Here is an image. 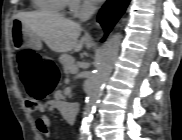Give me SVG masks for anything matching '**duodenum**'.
I'll use <instances>...</instances> for the list:
<instances>
[{
  "instance_id": "410a0bca",
  "label": "duodenum",
  "mask_w": 182,
  "mask_h": 140,
  "mask_svg": "<svg viewBox=\"0 0 182 140\" xmlns=\"http://www.w3.org/2000/svg\"><path fill=\"white\" fill-rule=\"evenodd\" d=\"M59 110L63 113V115L71 122L75 121V118L78 113V106L74 103H63Z\"/></svg>"
}]
</instances>
